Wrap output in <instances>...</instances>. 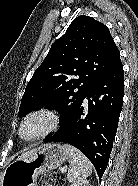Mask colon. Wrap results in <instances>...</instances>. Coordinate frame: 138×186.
I'll return each mask as SVG.
<instances>
[{
    "label": "colon",
    "mask_w": 138,
    "mask_h": 186,
    "mask_svg": "<svg viewBox=\"0 0 138 186\" xmlns=\"http://www.w3.org/2000/svg\"><path fill=\"white\" fill-rule=\"evenodd\" d=\"M64 178L60 173L52 172L38 178L37 186H63Z\"/></svg>",
    "instance_id": "5ec220e1"
}]
</instances>
